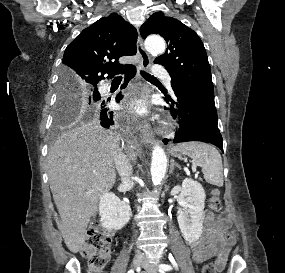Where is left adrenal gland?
Returning <instances> with one entry per match:
<instances>
[{
  "mask_svg": "<svg viewBox=\"0 0 285 273\" xmlns=\"http://www.w3.org/2000/svg\"><path fill=\"white\" fill-rule=\"evenodd\" d=\"M174 166H176V167L180 168V166H179L176 162H174V160H171L170 172H172V170H173Z\"/></svg>",
  "mask_w": 285,
  "mask_h": 273,
  "instance_id": "1",
  "label": "left adrenal gland"
}]
</instances>
